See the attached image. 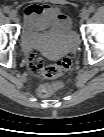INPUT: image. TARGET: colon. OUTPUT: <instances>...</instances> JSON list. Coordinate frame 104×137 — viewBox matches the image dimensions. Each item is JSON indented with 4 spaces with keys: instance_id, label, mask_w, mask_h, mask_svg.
Masks as SVG:
<instances>
[{
    "instance_id": "obj_1",
    "label": "colon",
    "mask_w": 104,
    "mask_h": 137,
    "mask_svg": "<svg viewBox=\"0 0 104 137\" xmlns=\"http://www.w3.org/2000/svg\"><path fill=\"white\" fill-rule=\"evenodd\" d=\"M29 65L33 72L42 77L52 79L67 72L73 65V57L68 56L63 58L56 64L45 63L35 51H30L28 54ZM54 86L49 83H44L39 86L38 94L42 97H48L53 94Z\"/></svg>"
}]
</instances>
